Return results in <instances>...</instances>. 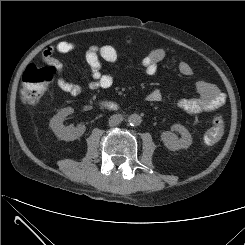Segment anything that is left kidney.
<instances>
[{"label":"left kidney","instance_id":"left-kidney-1","mask_svg":"<svg viewBox=\"0 0 245 245\" xmlns=\"http://www.w3.org/2000/svg\"><path fill=\"white\" fill-rule=\"evenodd\" d=\"M172 130L178 131L181 138L172 132L166 131L162 134V140L165 146L171 150L176 151L183 148H188L192 144V137L189 131L181 124H174Z\"/></svg>","mask_w":245,"mask_h":245}]
</instances>
